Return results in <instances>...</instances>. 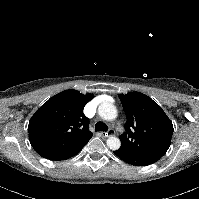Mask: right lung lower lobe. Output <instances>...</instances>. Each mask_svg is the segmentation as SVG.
I'll return each instance as SVG.
<instances>
[{"mask_svg":"<svg viewBox=\"0 0 199 199\" xmlns=\"http://www.w3.org/2000/svg\"><path fill=\"white\" fill-rule=\"evenodd\" d=\"M87 144V143H86ZM86 144H83L79 147H77L76 149L66 153V154H63V155H60V156H57V157H53V158H47V159H50V160H55V161H58V160H66L74 155H76L77 153H79L82 148L86 145Z\"/></svg>","mask_w":199,"mask_h":199,"instance_id":"1","label":"right lung lower lobe"}]
</instances>
